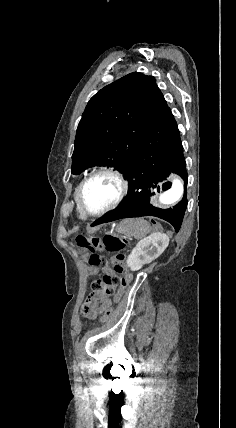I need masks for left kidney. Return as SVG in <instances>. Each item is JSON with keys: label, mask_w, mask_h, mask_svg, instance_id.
<instances>
[{"label": "left kidney", "mask_w": 236, "mask_h": 428, "mask_svg": "<svg viewBox=\"0 0 236 428\" xmlns=\"http://www.w3.org/2000/svg\"><path fill=\"white\" fill-rule=\"evenodd\" d=\"M168 244L169 238L166 234L153 232V234H150V236H147L144 240H140L137 246L133 248L126 262L128 268H130L132 272H137V270L142 268L143 264H150V262L156 260L158 256H161Z\"/></svg>", "instance_id": "obj_1"}]
</instances>
